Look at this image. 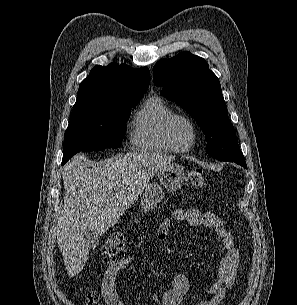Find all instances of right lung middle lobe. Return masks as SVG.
<instances>
[{
    "label": "right lung middle lobe",
    "instance_id": "dd1d6c3e",
    "mask_svg": "<svg viewBox=\"0 0 297 305\" xmlns=\"http://www.w3.org/2000/svg\"><path fill=\"white\" fill-rule=\"evenodd\" d=\"M140 98H128L103 105L73 107L64 135L62 163L79 151H97L121 146L130 108Z\"/></svg>",
    "mask_w": 297,
    "mask_h": 305
}]
</instances>
